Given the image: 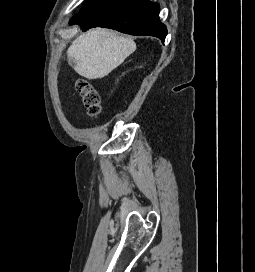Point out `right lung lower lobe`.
Instances as JSON below:
<instances>
[{
	"label": "right lung lower lobe",
	"instance_id": "obj_1",
	"mask_svg": "<svg viewBox=\"0 0 255 272\" xmlns=\"http://www.w3.org/2000/svg\"><path fill=\"white\" fill-rule=\"evenodd\" d=\"M83 31L111 28L130 35L155 36L164 42L167 29L159 19V4L149 0H91L72 17Z\"/></svg>",
	"mask_w": 255,
	"mask_h": 272
}]
</instances>
